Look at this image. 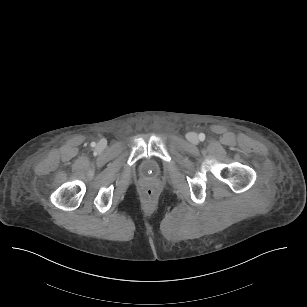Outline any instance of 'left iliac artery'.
Wrapping results in <instances>:
<instances>
[{
    "mask_svg": "<svg viewBox=\"0 0 307 307\" xmlns=\"http://www.w3.org/2000/svg\"><path fill=\"white\" fill-rule=\"evenodd\" d=\"M199 139H200L201 141H204V140H205V134L200 133V134H199Z\"/></svg>",
    "mask_w": 307,
    "mask_h": 307,
    "instance_id": "1",
    "label": "left iliac artery"
}]
</instances>
